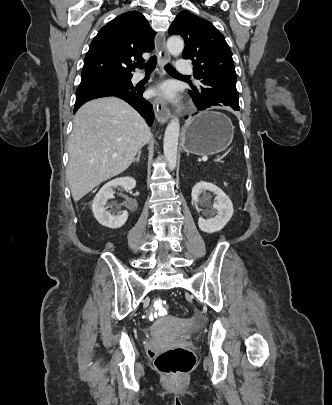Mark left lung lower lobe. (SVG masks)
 <instances>
[{
  "label": "left lung lower lobe",
  "instance_id": "0a47b994",
  "mask_svg": "<svg viewBox=\"0 0 332 405\" xmlns=\"http://www.w3.org/2000/svg\"><path fill=\"white\" fill-rule=\"evenodd\" d=\"M194 103L196 104L198 110H204L205 108L202 106L201 101L198 98H193Z\"/></svg>",
  "mask_w": 332,
  "mask_h": 405
}]
</instances>
